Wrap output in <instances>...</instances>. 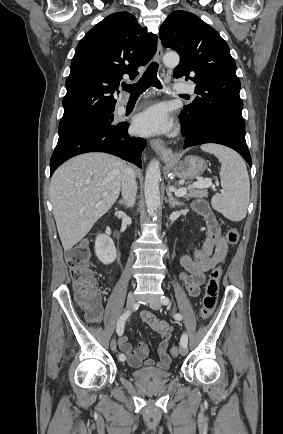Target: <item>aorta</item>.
Returning a JSON list of instances; mask_svg holds the SVG:
<instances>
[{
    "label": "aorta",
    "mask_w": 283,
    "mask_h": 434,
    "mask_svg": "<svg viewBox=\"0 0 283 434\" xmlns=\"http://www.w3.org/2000/svg\"><path fill=\"white\" fill-rule=\"evenodd\" d=\"M166 66H177L180 58L177 53H167L163 57ZM161 179L159 161L152 160L146 170L144 195L148 213L154 219L157 218L158 209L160 207V191L159 181Z\"/></svg>",
    "instance_id": "obj_1"
}]
</instances>
